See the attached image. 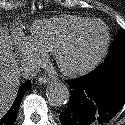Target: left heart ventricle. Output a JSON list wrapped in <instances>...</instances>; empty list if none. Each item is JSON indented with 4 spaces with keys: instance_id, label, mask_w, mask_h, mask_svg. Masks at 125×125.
I'll use <instances>...</instances> for the list:
<instances>
[{
    "instance_id": "b2bd125f",
    "label": "left heart ventricle",
    "mask_w": 125,
    "mask_h": 125,
    "mask_svg": "<svg viewBox=\"0 0 125 125\" xmlns=\"http://www.w3.org/2000/svg\"><path fill=\"white\" fill-rule=\"evenodd\" d=\"M103 30L92 26L86 30L64 54L63 60L68 66H77L93 57L100 48Z\"/></svg>"
}]
</instances>
